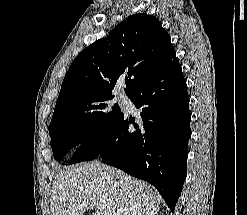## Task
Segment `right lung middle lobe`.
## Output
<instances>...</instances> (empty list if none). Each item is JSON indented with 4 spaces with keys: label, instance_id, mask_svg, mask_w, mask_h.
I'll list each match as a JSON object with an SVG mask.
<instances>
[{
    "label": "right lung middle lobe",
    "instance_id": "1",
    "mask_svg": "<svg viewBox=\"0 0 247 215\" xmlns=\"http://www.w3.org/2000/svg\"><path fill=\"white\" fill-rule=\"evenodd\" d=\"M113 95H99L67 105L55 113L49 125L51 147L56 160L72 148L106 130L121 114Z\"/></svg>",
    "mask_w": 247,
    "mask_h": 215
}]
</instances>
